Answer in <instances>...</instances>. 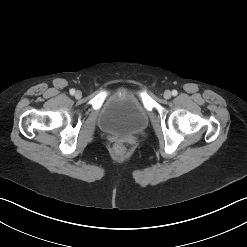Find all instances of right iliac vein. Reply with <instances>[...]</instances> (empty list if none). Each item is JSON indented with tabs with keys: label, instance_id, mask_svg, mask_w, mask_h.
I'll use <instances>...</instances> for the list:
<instances>
[{
	"label": "right iliac vein",
	"instance_id": "63e3f726",
	"mask_svg": "<svg viewBox=\"0 0 247 247\" xmlns=\"http://www.w3.org/2000/svg\"><path fill=\"white\" fill-rule=\"evenodd\" d=\"M75 97H76L77 99H80V98L82 97L81 91H76Z\"/></svg>",
	"mask_w": 247,
	"mask_h": 247
}]
</instances>
